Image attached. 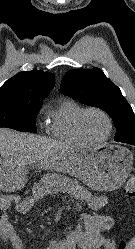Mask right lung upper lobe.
Instances as JSON below:
<instances>
[{"instance_id": "1", "label": "right lung upper lobe", "mask_w": 135, "mask_h": 249, "mask_svg": "<svg viewBox=\"0 0 135 249\" xmlns=\"http://www.w3.org/2000/svg\"><path fill=\"white\" fill-rule=\"evenodd\" d=\"M55 84L54 74L42 70L21 71L0 87V95L42 101Z\"/></svg>"}]
</instances>
